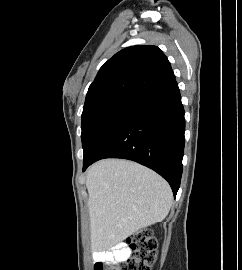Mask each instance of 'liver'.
<instances>
[{
  "label": "liver",
  "mask_w": 242,
  "mask_h": 270,
  "mask_svg": "<svg viewBox=\"0 0 242 270\" xmlns=\"http://www.w3.org/2000/svg\"><path fill=\"white\" fill-rule=\"evenodd\" d=\"M92 247L106 248L161 222L173 195L169 184L135 162L106 159L87 171Z\"/></svg>",
  "instance_id": "liver-1"
}]
</instances>
